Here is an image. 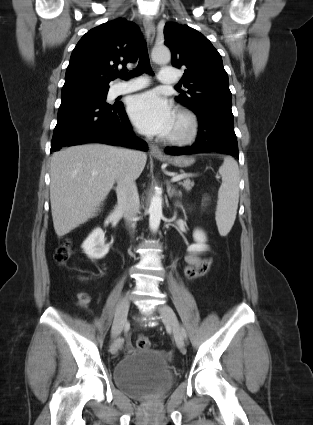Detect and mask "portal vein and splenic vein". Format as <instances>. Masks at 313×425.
Returning a JSON list of instances; mask_svg holds the SVG:
<instances>
[{
  "label": "portal vein and splenic vein",
  "mask_w": 313,
  "mask_h": 425,
  "mask_svg": "<svg viewBox=\"0 0 313 425\" xmlns=\"http://www.w3.org/2000/svg\"><path fill=\"white\" fill-rule=\"evenodd\" d=\"M93 173L96 174L97 171H94ZM191 176H192L191 174H180V175L173 176L172 179H171V181L172 182H177V181H180V180H182L184 178L191 177Z\"/></svg>",
  "instance_id": "18ae733b"
}]
</instances>
